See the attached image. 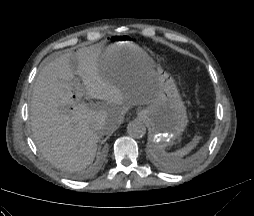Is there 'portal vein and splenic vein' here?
Returning <instances> with one entry per match:
<instances>
[{
  "label": "portal vein and splenic vein",
  "mask_w": 254,
  "mask_h": 216,
  "mask_svg": "<svg viewBox=\"0 0 254 216\" xmlns=\"http://www.w3.org/2000/svg\"><path fill=\"white\" fill-rule=\"evenodd\" d=\"M74 87H75V94H76V103L79 104L82 96L84 95L85 89L80 83V81H76Z\"/></svg>",
  "instance_id": "obj_1"
}]
</instances>
